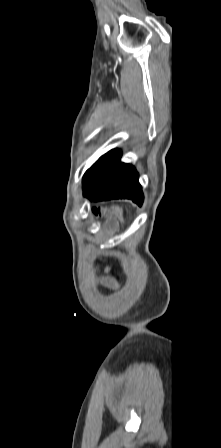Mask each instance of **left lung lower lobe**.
<instances>
[{"instance_id":"obj_1","label":"left lung lower lobe","mask_w":221,"mask_h":448,"mask_svg":"<svg viewBox=\"0 0 221 448\" xmlns=\"http://www.w3.org/2000/svg\"><path fill=\"white\" fill-rule=\"evenodd\" d=\"M120 158V150H112L87 170L83 177L85 197L91 201L131 199L142 205L138 173L133 166L120 162Z\"/></svg>"}]
</instances>
